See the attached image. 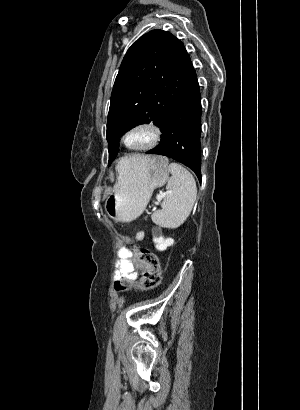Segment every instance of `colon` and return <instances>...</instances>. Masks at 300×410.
I'll return each mask as SVG.
<instances>
[{"label": "colon", "instance_id": "5ec220e1", "mask_svg": "<svg viewBox=\"0 0 300 410\" xmlns=\"http://www.w3.org/2000/svg\"><path fill=\"white\" fill-rule=\"evenodd\" d=\"M131 252L135 263L142 270V277L136 288L139 290H151L156 288L161 282L158 256L153 251L138 246H133ZM132 285L133 282L130 280L122 279L115 282L114 290L116 292H123L130 289Z\"/></svg>", "mask_w": 300, "mask_h": 410}]
</instances>
